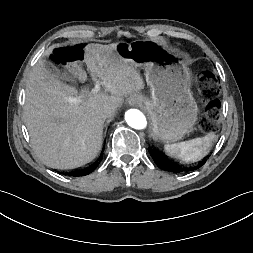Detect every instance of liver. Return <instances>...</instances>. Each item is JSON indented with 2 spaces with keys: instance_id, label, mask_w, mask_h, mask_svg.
Instances as JSON below:
<instances>
[{
  "instance_id": "obj_1",
  "label": "liver",
  "mask_w": 253,
  "mask_h": 253,
  "mask_svg": "<svg viewBox=\"0 0 253 253\" xmlns=\"http://www.w3.org/2000/svg\"><path fill=\"white\" fill-rule=\"evenodd\" d=\"M116 47L114 43L88 44L84 49L83 62L93 79L101 82V92L85 91L78 96L76 88L45 69L42 59L31 71L24 120L34 152L46 166L72 169L94 160L102 147L103 125L108 117L103 106L120 107L125 96L144 89L140 73L117 55ZM78 63L73 62L69 69L84 83L87 76ZM78 98L81 101L75 100Z\"/></svg>"
}]
</instances>
